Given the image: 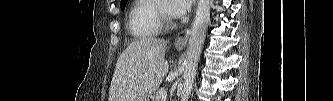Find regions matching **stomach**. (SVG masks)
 Wrapping results in <instances>:
<instances>
[{"instance_id": "1", "label": "stomach", "mask_w": 333, "mask_h": 101, "mask_svg": "<svg viewBox=\"0 0 333 101\" xmlns=\"http://www.w3.org/2000/svg\"><path fill=\"white\" fill-rule=\"evenodd\" d=\"M177 49H179V50H180V49H181V47H177ZM146 101H150V99L148 98Z\"/></svg>"}]
</instances>
